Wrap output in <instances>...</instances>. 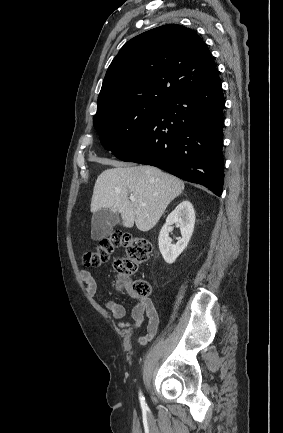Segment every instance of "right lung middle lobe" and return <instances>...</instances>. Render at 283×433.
<instances>
[{"instance_id": "right-lung-middle-lobe-1", "label": "right lung middle lobe", "mask_w": 283, "mask_h": 433, "mask_svg": "<svg viewBox=\"0 0 283 433\" xmlns=\"http://www.w3.org/2000/svg\"><path fill=\"white\" fill-rule=\"evenodd\" d=\"M163 106L130 103L97 113L93 122L103 147L114 155L124 151Z\"/></svg>"}]
</instances>
